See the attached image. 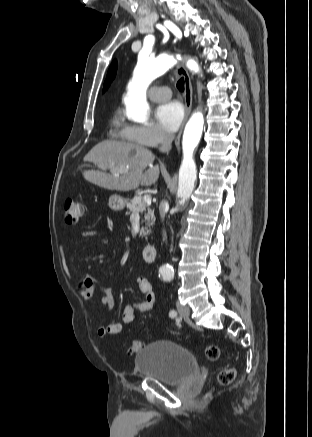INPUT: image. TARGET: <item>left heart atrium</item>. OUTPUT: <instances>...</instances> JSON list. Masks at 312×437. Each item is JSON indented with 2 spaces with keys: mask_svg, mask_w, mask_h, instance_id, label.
<instances>
[{
  "mask_svg": "<svg viewBox=\"0 0 312 437\" xmlns=\"http://www.w3.org/2000/svg\"><path fill=\"white\" fill-rule=\"evenodd\" d=\"M156 118L159 125L167 132L173 133L183 119V108L180 103L172 101L158 107Z\"/></svg>",
  "mask_w": 312,
  "mask_h": 437,
  "instance_id": "left-heart-atrium-1",
  "label": "left heart atrium"
}]
</instances>
